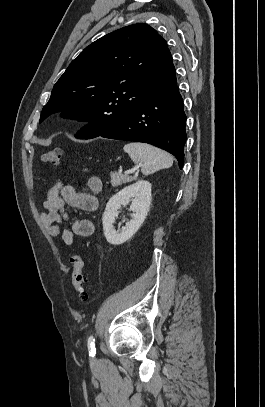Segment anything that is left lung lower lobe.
<instances>
[{"label":"left lung lower lobe","instance_id":"obj_1","mask_svg":"<svg viewBox=\"0 0 265 407\" xmlns=\"http://www.w3.org/2000/svg\"><path fill=\"white\" fill-rule=\"evenodd\" d=\"M185 122L183 100L175 76L128 117L100 136L152 144L173 154L182 168Z\"/></svg>","mask_w":265,"mask_h":407}]
</instances>
